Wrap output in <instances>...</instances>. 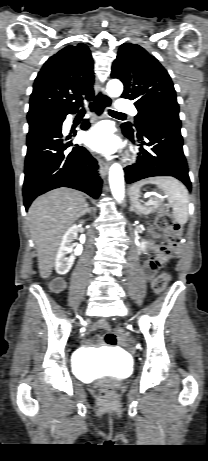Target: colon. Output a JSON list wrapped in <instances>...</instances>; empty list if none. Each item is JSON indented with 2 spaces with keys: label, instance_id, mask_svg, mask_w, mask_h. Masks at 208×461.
<instances>
[{
  "label": "colon",
  "instance_id": "obj_1",
  "mask_svg": "<svg viewBox=\"0 0 208 461\" xmlns=\"http://www.w3.org/2000/svg\"><path fill=\"white\" fill-rule=\"evenodd\" d=\"M155 224L159 229L165 232L167 244L162 246L156 256L148 261L149 268L154 270L165 265L171 258L173 251L180 245V225L175 222L169 213H159L155 218ZM168 282L169 275L162 273L154 280L153 288L156 292L160 293L166 288ZM115 332L118 333L120 340L125 338L122 329L116 328ZM112 391L113 388L109 383H103L99 389V393L103 398L110 397Z\"/></svg>",
  "mask_w": 208,
  "mask_h": 461
}]
</instances>
